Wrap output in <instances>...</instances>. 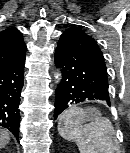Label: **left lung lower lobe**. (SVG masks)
<instances>
[{
	"label": "left lung lower lobe",
	"mask_w": 130,
	"mask_h": 153,
	"mask_svg": "<svg viewBox=\"0 0 130 153\" xmlns=\"http://www.w3.org/2000/svg\"><path fill=\"white\" fill-rule=\"evenodd\" d=\"M55 63L62 80L56 90L54 119L74 103L105 100L110 105L104 57L92 37L66 30L55 50Z\"/></svg>",
	"instance_id": "obj_1"
}]
</instances>
